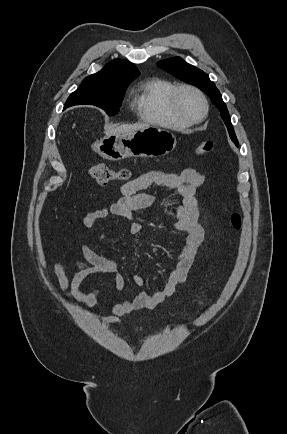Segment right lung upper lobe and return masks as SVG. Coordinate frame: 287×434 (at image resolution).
<instances>
[{
  "label": "right lung upper lobe",
  "mask_w": 287,
  "mask_h": 434,
  "mask_svg": "<svg viewBox=\"0 0 287 434\" xmlns=\"http://www.w3.org/2000/svg\"><path fill=\"white\" fill-rule=\"evenodd\" d=\"M140 72L127 60L116 59L108 63L101 71L85 79L108 80L111 82H128L138 77Z\"/></svg>",
  "instance_id": "cb5924a9"
}]
</instances>
